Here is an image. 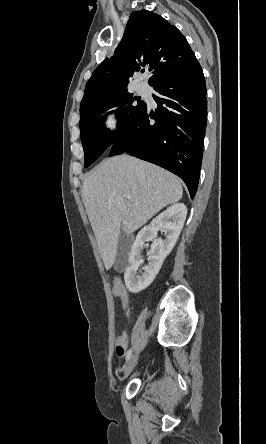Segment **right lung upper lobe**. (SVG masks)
<instances>
[{"mask_svg":"<svg viewBox=\"0 0 266 444\" xmlns=\"http://www.w3.org/2000/svg\"><path fill=\"white\" fill-rule=\"evenodd\" d=\"M196 62L186 38L175 26L151 11L133 12L115 55L106 58L93 72L81 105L127 89L133 74L145 64L153 70L149 78L153 86L188 70Z\"/></svg>","mask_w":266,"mask_h":444,"instance_id":"1","label":"right lung upper lobe"}]
</instances>
